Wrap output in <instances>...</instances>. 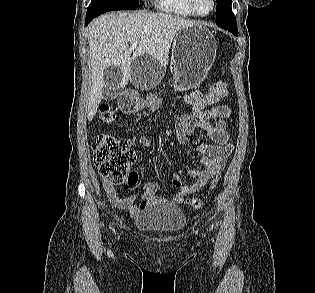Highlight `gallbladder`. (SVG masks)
<instances>
[{
	"label": "gallbladder",
	"instance_id": "gallbladder-1",
	"mask_svg": "<svg viewBox=\"0 0 315 293\" xmlns=\"http://www.w3.org/2000/svg\"><path fill=\"white\" fill-rule=\"evenodd\" d=\"M123 80L124 73L119 67L110 65L104 69L102 93L105 101H111L117 97Z\"/></svg>",
	"mask_w": 315,
	"mask_h": 293
}]
</instances>
